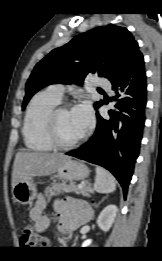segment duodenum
<instances>
[{
    "mask_svg": "<svg viewBox=\"0 0 162 261\" xmlns=\"http://www.w3.org/2000/svg\"><path fill=\"white\" fill-rule=\"evenodd\" d=\"M61 231L64 233V234H67L68 233V229L67 228H63V229H61Z\"/></svg>",
    "mask_w": 162,
    "mask_h": 261,
    "instance_id": "1",
    "label": "duodenum"
}]
</instances>
